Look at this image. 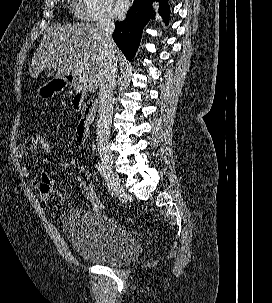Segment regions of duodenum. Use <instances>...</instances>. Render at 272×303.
<instances>
[{
  "label": "duodenum",
  "mask_w": 272,
  "mask_h": 303,
  "mask_svg": "<svg viewBox=\"0 0 272 303\" xmlns=\"http://www.w3.org/2000/svg\"><path fill=\"white\" fill-rule=\"evenodd\" d=\"M65 82L75 90L72 107L80 114V121L75 131V139L77 142L82 143L88 138L89 127L94 120L97 104L94 100L86 101L85 88L74 75H67Z\"/></svg>",
  "instance_id": "410a0bca"
}]
</instances>
